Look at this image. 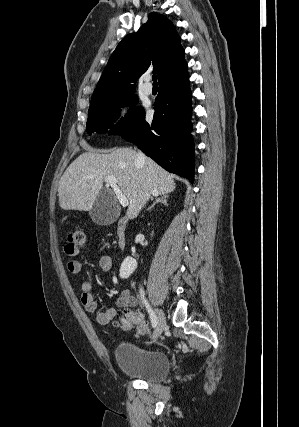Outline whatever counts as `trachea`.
Returning a JSON list of instances; mask_svg holds the SVG:
<instances>
[{"mask_svg": "<svg viewBox=\"0 0 299 427\" xmlns=\"http://www.w3.org/2000/svg\"><path fill=\"white\" fill-rule=\"evenodd\" d=\"M152 80H153V83H154V84H157V76H156V75H153V76H152Z\"/></svg>", "mask_w": 299, "mask_h": 427, "instance_id": "3493384b", "label": "trachea"}]
</instances>
